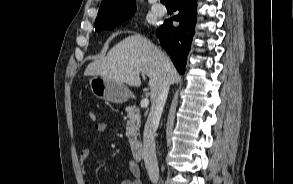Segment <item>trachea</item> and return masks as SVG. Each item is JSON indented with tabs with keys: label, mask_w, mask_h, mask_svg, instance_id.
<instances>
[{
	"label": "trachea",
	"mask_w": 293,
	"mask_h": 184,
	"mask_svg": "<svg viewBox=\"0 0 293 184\" xmlns=\"http://www.w3.org/2000/svg\"><path fill=\"white\" fill-rule=\"evenodd\" d=\"M161 3L166 4V3H171L170 0H160Z\"/></svg>",
	"instance_id": "trachea-1"
}]
</instances>
